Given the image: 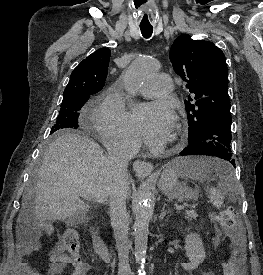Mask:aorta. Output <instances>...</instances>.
Here are the masks:
<instances>
[{
  "label": "aorta",
  "mask_w": 263,
  "mask_h": 275,
  "mask_svg": "<svg viewBox=\"0 0 263 275\" xmlns=\"http://www.w3.org/2000/svg\"><path fill=\"white\" fill-rule=\"evenodd\" d=\"M159 69V63L150 57L137 58L124 72L123 82L126 91L135 95L145 80ZM154 196L149 186H146L140 196L136 209L134 223L135 259L140 264L139 272L144 271L146 260L149 222L153 214ZM141 275V274H140Z\"/></svg>",
  "instance_id": "762f6f07"
}]
</instances>
